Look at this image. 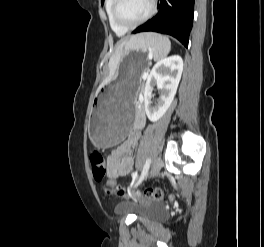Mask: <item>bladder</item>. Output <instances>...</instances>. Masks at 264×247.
<instances>
[{"instance_id":"31cf9c89","label":"bladder","mask_w":264,"mask_h":247,"mask_svg":"<svg viewBox=\"0 0 264 247\" xmlns=\"http://www.w3.org/2000/svg\"><path fill=\"white\" fill-rule=\"evenodd\" d=\"M117 209L120 212H135L142 219H158L163 216V210L153 203L135 204L123 201L118 204Z\"/></svg>"}]
</instances>
